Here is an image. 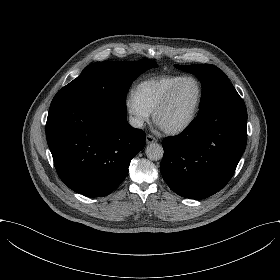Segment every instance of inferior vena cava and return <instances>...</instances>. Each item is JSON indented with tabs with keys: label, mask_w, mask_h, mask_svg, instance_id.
<instances>
[{
	"label": "inferior vena cava",
	"mask_w": 280,
	"mask_h": 280,
	"mask_svg": "<svg viewBox=\"0 0 280 280\" xmlns=\"http://www.w3.org/2000/svg\"><path fill=\"white\" fill-rule=\"evenodd\" d=\"M144 121L138 117H129V124L134 128H141L143 126Z\"/></svg>",
	"instance_id": "1"
}]
</instances>
